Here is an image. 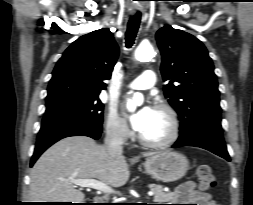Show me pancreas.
Returning <instances> with one entry per match:
<instances>
[{
	"instance_id": "pancreas-1",
	"label": "pancreas",
	"mask_w": 253,
	"mask_h": 205,
	"mask_svg": "<svg viewBox=\"0 0 253 205\" xmlns=\"http://www.w3.org/2000/svg\"><path fill=\"white\" fill-rule=\"evenodd\" d=\"M149 188L154 192V201L155 202H168L172 199L171 192H164L163 187L157 184H150Z\"/></svg>"
}]
</instances>
